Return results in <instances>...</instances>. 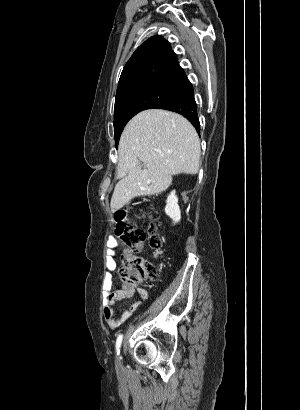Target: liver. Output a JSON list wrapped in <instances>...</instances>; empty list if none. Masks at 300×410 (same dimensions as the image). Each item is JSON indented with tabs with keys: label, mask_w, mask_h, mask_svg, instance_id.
<instances>
[{
	"label": "liver",
	"mask_w": 300,
	"mask_h": 410,
	"mask_svg": "<svg viewBox=\"0 0 300 410\" xmlns=\"http://www.w3.org/2000/svg\"><path fill=\"white\" fill-rule=\"evenodd\" d=\"M200 153L198 134L183 116L161 109L137 114L119 141V182L111 198V211L115 213L134 197L165 191L173 175L198 173Z\"/></svg>",
	"instance_id": "liver-1"
}]
</instances>
